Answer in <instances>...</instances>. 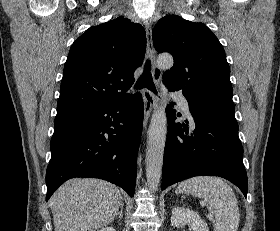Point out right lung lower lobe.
<instances>
[{
  "mask_svg": "<svg viewBox=\"0 0 280 231\" xmlns=\"http://www.w3.org/2000/svg\"><path fill=\"white\" fill-rule=\"evenodd\" d=\"M142 123L141 94L55 120L46 201L74 177L107 180L133 197Z\"/></svg>",
  "mask_w": 280,
  "mask_h": 231,
  "instance_id": "98d812e1",
  "label": "right lung lower lobe"
}]
</instances>
